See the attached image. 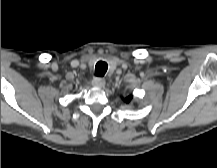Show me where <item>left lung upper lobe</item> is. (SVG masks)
Here are the masks:
<instances>
[{
  "label": "left lung upper lobe",
  "instance_id": "left-lung-upper-lobe-1",
  "mask_svg": "<svg viewBox=\"0 0 217 168\" xmlns=\"http://www.w3.org/2000/svg\"><path fill=\"white\" fill-rule=\"evenodd\" d=\"M131 99H132V95H129V96L125 97L124 101L126 103H129L131 101Z\"/></svg>",
  "mask_w": 217,
  "mask_h": 168
}]
</instances>
